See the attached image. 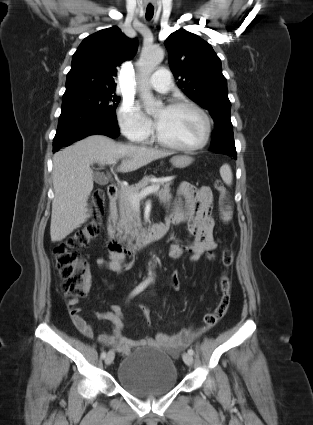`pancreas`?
I'll return each instance as SVG.
<instances>
[{"label": "pancreas", "instance_id": "1", "mask_svg": "<svg viewBox=\"0 0 313 425\" xmlns=\"http://www.w3.org/2000/svg\"><path fill=\"white\" fill-rule=\"evenodd\" d=\"M154 176L144 177L135 186L124 187L120 190L118 196L119 202V221L117 223V231L122 240H127L128 245H132L133 240L138 239L142 231V223L140 219V211L137 210L130 200V195L138 194L142 190L150 186H161L160 190L154 192L160 202L167 203L171 200L170 193L171 182L157 180Z\"/></svg>", "mask_w": 313, "mask_h": 425}]
</instances>
